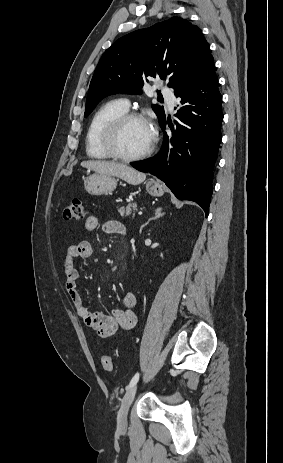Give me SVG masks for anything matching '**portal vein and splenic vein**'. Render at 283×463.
<instances>
[{
	"mask_svg": "<svg viewBox=\"0 0 283 463\" xmlns=\"http://www.w3.org/2000/svg\"><path fill=\"white\" fill-rule=\"evenodd\" d=\"M139 215H142V212H139Z\"/></svg>",
	"mask_w": 283,
	"mask_h": 463,
	"instance_id": "1",
	"label": "portal vein and splenic vein"
}]
</instances>
